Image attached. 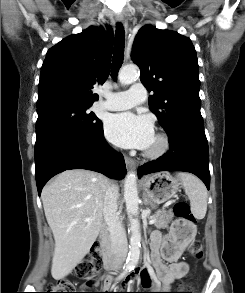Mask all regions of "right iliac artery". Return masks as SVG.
Here are the masks:
<instances>
[{
	"label": "right iliac artery",
	"instance_id": "82829eb1",
	"mask_svg": "<svg viewBox=\"0 0 245 293\" xmlns=\"http://www.w3.org/2000/svg\"><path fill=\"white\" fill-rule=\"evenodd\" d=\"M130 270H128V269H125L121 274H120V276L117 278V280H120V279H122L128 272H129Z\"/></svg>",
	"mask_w": 245,
	"mask_h": 293
}]
</instances>
